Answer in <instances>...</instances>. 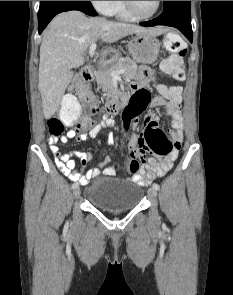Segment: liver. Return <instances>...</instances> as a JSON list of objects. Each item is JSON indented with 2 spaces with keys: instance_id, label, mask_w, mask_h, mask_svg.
Wrapping results in <instances>:
<instances>
[{
  "instance_id": "6515ba94",
  "label": "liver",
  "mask_w": 233,
  "mask_h": 295,
  "mask_svg": "<svg viewBox=\"0 0 233 295\" xmlns=\"http://www.w3.org/2000/svg\"><path fill=\"white\" fill-rule=\"evenodd\" d=\"M164 31L162 28L148 29L101 17L87 18L76 10L58 14L44 31L40 46L38 90L44 117L49 119L58 110L72 80V69L84 64V54L91 44L99 39L113 43L137 33L158 36Z\"/></svg>"
}]
</instances>
